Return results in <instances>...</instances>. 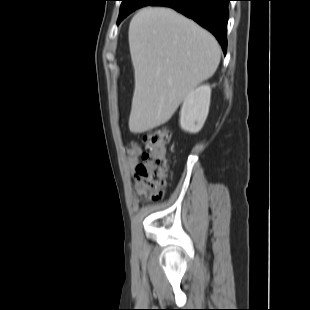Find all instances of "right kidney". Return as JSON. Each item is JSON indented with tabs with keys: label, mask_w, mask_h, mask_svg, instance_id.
I'll use <instances>...</instances> for the list:
<instances>
[{
	"label": "right kidney",
	"mask_w": 310,
	"mask_h": 310,
	"mask_svg": "<svg viewBox=\"0 0 310 310\" xmlns=\"http://www.w3.org/2000/svg\"><path fill=\"white\" fill-rule=\"evenodd\" d=\"M211 87L200 85L184 98L180 112V127L189 133L199 132L208 116Z\"/></svg>",
	"instance_id": "1"
}]
</instances>
